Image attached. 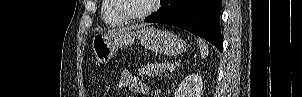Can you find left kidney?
Here are the masks:
<instances>
[{
    "label": "left kidney",
    "instance_id": "obj_1",
    "mask_svg": "<svg viewBox=\"0 0 302 97\" xmlns=\"http://www.w3.org/2000/svg\"><path fill=\"white\" fill-rule=\"evenodd\" d=\"M203 79L198 74L188 75L175 91V97H201Z\"/></svg>",
    "mask_w": 302,
    "mask_h": 97
}]
</instances>
